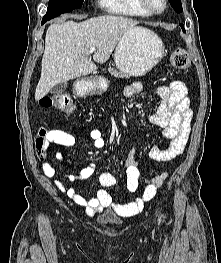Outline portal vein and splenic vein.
Instances as JSON below:
<instances>
[{
  "label": "portal vein and splenic vein",
  "instance_id": "1",
  "mask_svg": "<svg viewBox=\"0 0 221 263\" xmlns=\"http://www.w3.org/2000/svg\"><path fill=\"white\" fill-rule=\"evenodd\" d=\"M95 50H96L95 47H91V48L89 49V53L91 54V53H93Z\"/></svg>",
  "mask_w": 221,
  "mask_h": 263
}]
</instances>
